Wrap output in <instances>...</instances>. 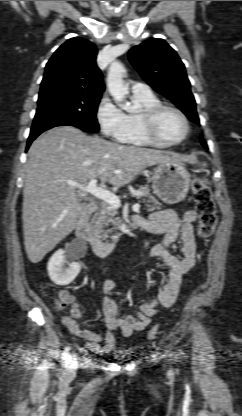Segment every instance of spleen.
Here are the masks:
<instances>
[{
    "mask_svg": "<svg viewBox=\"0 0 242 416\" xmlns=\"http://www.w3.org/2000/svg\"><path fill=\"white\" fill-rule=\"evenodd\" d=\"M203 166H206V163H203Z\"/></svg>",
    "mask_w": 242,
    "mask_h": 416,
    "instance_id": "spleen-1",
    "label": "spleen"
}]
</instances>
